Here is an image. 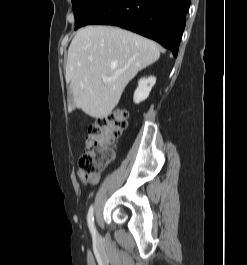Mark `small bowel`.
I'll return each instance as SVG.
<instances>
[{"instance_id": "obj_1", "label": "small bowel", "mask_w": 247, "mask_h": 265, "mask_svg": "<svg viewBox=\"0 0 247 265\" xmlns=\"http://www.w3.org/2000/svg\"><path fill=\"white\" fill-rule=\"evenodd\" d=\"M78 176L80 180L86 184H95L98 182L99 176L98 175H88L83 170L78 172Z\"/></svg>"}]
</instances>
